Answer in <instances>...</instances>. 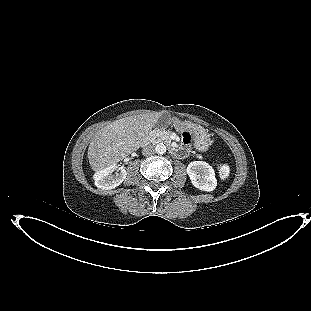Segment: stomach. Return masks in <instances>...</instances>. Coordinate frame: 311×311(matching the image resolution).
Listing matches in <instances>:
<instances>
[{"label":"stomach","instance_id":"0dacf381","mask_svg":"<svg viewBox=\"0 0 311 311\" xmlns=\"http://www.w3.org/2000/svg\"><path fill=\"white\" fill-rule=\"evenodd\" d=\"M174 125L178 131H183L187 128V126L179 120H174ZM195 134V148L200 152L207 151L211 145L209 136L201 130H196Z\"/></svg>","mask_w":311,"mask_h":311}]
</instances>
